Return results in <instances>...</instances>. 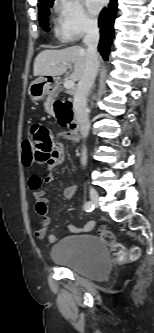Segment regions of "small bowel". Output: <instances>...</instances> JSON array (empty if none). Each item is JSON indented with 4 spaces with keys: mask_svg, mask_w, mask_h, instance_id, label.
I'll list each match as a JSON object with an SVG mask.
<instances>
[{
    "mask_svg": "<svg viewBox=\"0 0 154 333\" xmlns=\"http://www.w3.org/2000/svg\"><path fill=\"white\" fill-rule=\"evenodd\" d=\"M60 136L71 140L76 139L71 132L62 133ZM30 138L34 144L35 161L47 165V173L44 176L33 175L29 179V187L34 192L36 199V211L41 217L42 222V227L35 231V236L38 239L46 238L50 243H54L58 240V237L49 233L50 217L48 215V199L45 191L42 190V184L53 182L54 176L52 170L64 161L65 153L57 137L41 124H34L31 127ZM76 191L77 186H71L65 190V196L70 199ZM67 228L72 233L90 231L93 228V223L90 222L82 228L70 224Z\"/></svg>",
    "mask_w": 154,
    "mask_h": 333,
    "instance_id": "small-bowel-1",
    "label": "small bowel"
}]
</instances>
